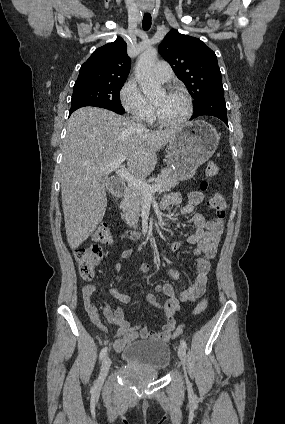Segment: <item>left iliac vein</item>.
Masks as SVG:
<instances>
[{"mask_svg": "<svg viewBox=\"0 0 285 424\" xmlns=\"http://www.w3.org/2000/svg\"><path fill=\"white\" fill-rule=\"evenodd\" d=\"M178 356H179V358L181 360V363H182V365H183V367L185 369V364H186V350H185V348L182 345H180L179 348H178Z\"/></svg>", "mask_w": 285, "mask_h": 424, "instance_id": "left-iliac-vein-1", "label": "left iliac vein"}]
</instances>
